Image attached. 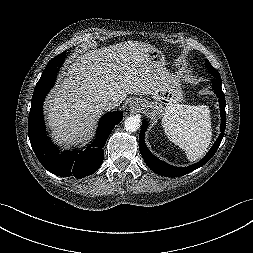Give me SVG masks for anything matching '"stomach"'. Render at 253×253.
Listing matches in <instances>:
<instances>
[{
  "label": "stomach",
  "mask_w": 253,
  "mask_h": 253,
  "mask_svg": "<svg viewBox=\"0 0 253 253\" xmlns=\"http://www.w3.org/2000/svg\"><path fill=\"white\" fill-rule=\"evenodd\" d=\"M148 58L150 65L163 75L164 80L155 95H152L153 101L146 99H140V101L143 103V109L148 114L153 117L162 116L163 120L171 107L180 105L184 101V88L178 80L169 76L165 57L160 50L153 46L148 52Z\"/></svg>",
  "instance_id": "0dacf381"
}]
</instances>
